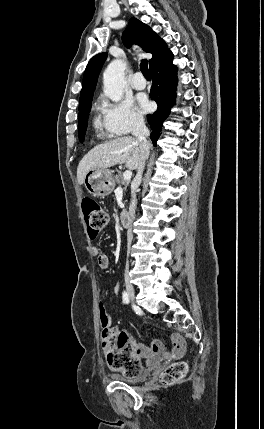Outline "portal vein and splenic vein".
Wrapping results in <instances>:
<instances>
[{"label":"portal vein and splenic vein","mask_w":264,"mask_h":429,"mask_svg":"<svg viewBox=\"0 0 264 429\" xmlns=\"http://www.w3.org/2000/svg\"><path fill=\"white\" fill-rule=\"evenodd\" d=\"M132 177V171L131 170H126L123 174V178L124 180H130Z\"/></svg>","instance_id":"obj_1"}]
</instances>
